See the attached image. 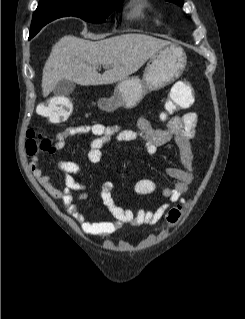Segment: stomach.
Here are the masks:
<instances>
[{
  "instance_id": "1",
  "label": "stomach",
  "mask_w": 245,
  "mask_h": 319,
  "mask_svg": "<svg viewBox=\"0 0 245 319\" xmlns=\"http://www.w3.org/2000/svg\"><path fill=\"white\" fill-rule=\"evenodd\" d=\"M186 64L184 50L170 44L149 59L142 78L132 76L119 81L112 97L98 99V108L105 112H113L120 107L134 108L149 91L162 89L178 79Z\"/></svg>"
}]
</instances>
